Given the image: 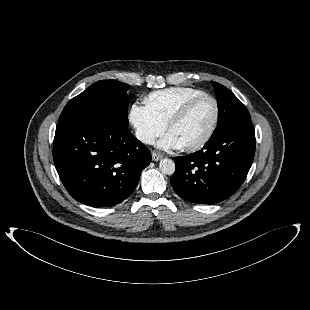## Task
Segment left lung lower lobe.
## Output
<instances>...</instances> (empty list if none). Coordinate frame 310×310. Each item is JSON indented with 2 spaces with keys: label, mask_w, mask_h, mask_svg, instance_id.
Instances as JSON below:
<instances>
[{
  "label": "left lung lower lobe",
  "mask_w": 310,
  "mask_h": 310,
  "mask_svg": "<svg viewBox=\"0 0 310 310\" xmlns=\"http://www.w3.org/2000/svg\"><path fill=\"white\" fill-rule=\"evenodd\" d=\"M255 133L246 121L187 156L175 157L171 185L192 203L216 204L233 195L244 182L255 153Z\"/></svg>",
  "instance_id": "1"
}]
</instances>
